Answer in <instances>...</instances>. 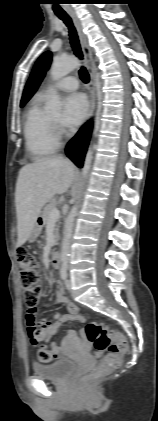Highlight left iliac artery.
Here are the masks:
<instances>
[{"instance_id": "obj_1", "label": "left iliac artery", "mask_w": 158, "mask_h": 421, "mask_svg": "<svg viewBox=\"0 0 158 421\" xmlns=\"http://www.w3.org/2000/svg\"><path fill=\"white\" fill-rule=\"evenodd\" d=\"M67 270H68V262L63 261L62 266H61V270H60V276L63 280H65L67 278Z\"/></svg>"}]
</instances>
